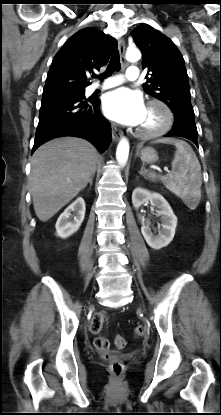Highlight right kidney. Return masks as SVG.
<instances>
[{"label":"right kidney","instance_id":"right-kidney-1","mask_svg":"<svg viewBox=\"0 0 221 415\" xmlns=\"http://www.w3.org/2000/svg\"><path fill=\"white\" fill-rule=\"evenodd\" d=\"M84 216L85 202L83 198H77L59 216L55 225L57 236L67 238L74 234L81 226Z\"/></svg>","mask_w":221,"mask_h":415}]
</instances>
